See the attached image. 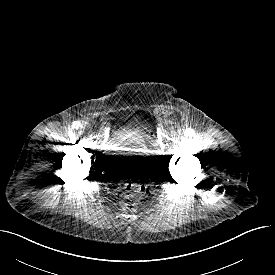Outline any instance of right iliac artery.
<instances>
[{
	"instance_id": "right-iliac-artery-1",
	"label": "right iliac artery",
	"mask_w": 275,
	"mask_h": 275,
	"mask_svg": "<svg viewBox=\"0 0 275 275\" xmlns=\"http://www.w3.org/2000/svg\"><path fill=\"white\" fill-rule=\"evenodd\" d=\"M72 127L75 129H78L81 127V123L79 121H75V122H73Z\"/></svg>"
}]
</instances>
